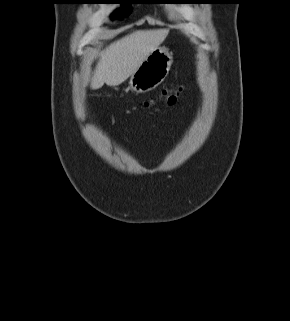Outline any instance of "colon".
<instances>
[{
  "label": "colon",
  "instance_id": "colon-1",
  "mask_svg": "<svg viewBox=\"0 0 290 321\" xmlns=\"http://www.w3.org/2000/svg\"><path fill=\"white\" fill-rule=\"evenodd\" d=\"M181 84H175L171 88L165 89L158 99L148 100L144 103L145 107L153 108L156 107L158 104L170 106L175 104L177 97L182 91Z\"/></svg>",
  "mask_w": 290,
  "mask_h": 321
}]
</instances>
